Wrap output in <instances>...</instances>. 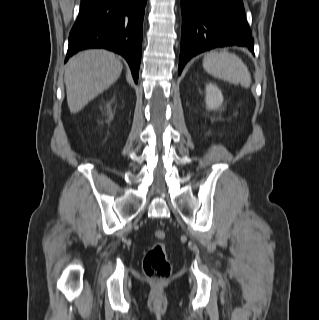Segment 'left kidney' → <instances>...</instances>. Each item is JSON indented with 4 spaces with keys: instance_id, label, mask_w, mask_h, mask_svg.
Segmentation results:
<instances>
[{
    "instance_id": "left-kidney-1",
    "label": "left kidney",
    "mask_w": 319,
    "mask_h": 320,
    "mask_svg": "<svg viewBox=\"0 0 319 320\" xmlns=\"http://www.w3.org/2000/svg\"><path fill=\"white\" fill-rule=\"evenodd\" d=\"M205 92H206L205 100H206L207 108L210 110L219 109V107L222 105L224 100L223 95L219 90V88L216 85L209 83L206 85Z\"/></svg>"
}]
</instances>
